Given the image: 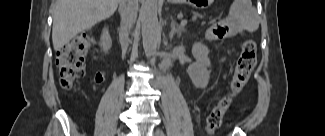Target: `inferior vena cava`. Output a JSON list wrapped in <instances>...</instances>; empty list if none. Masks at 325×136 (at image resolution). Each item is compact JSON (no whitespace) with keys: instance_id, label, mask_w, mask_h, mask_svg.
Segmentation results:
<instances>
[{"instance_id":"obj_1","label":"inferior vena cava","mask_w":325,"mask_h":136,"mask_svg":"<svg viewBox=\"0 0 325 136\" xmlns=\"http://www.w3.org/2000/svg\"><path fill=\"white\" fill-rule=\"evenodd\" d=\"M138 11V0H121L119 13L121 16V26L125 34V40L121 42L122 51L126 52L129 40L128 33L133 27Z\"/></svg>"}]
</instances>
